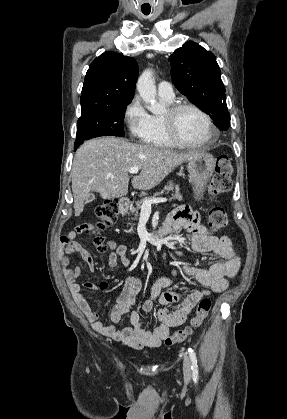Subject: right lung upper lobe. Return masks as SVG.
<instances>
[{
    "label": "right lung upper lobe",
    "mask_w": 287,
    "mask_h": 419,
    "mask_svg": "<svg viewBox=\"0 0 287 419\" xmlns=\"http://www.w3.org/2000/svg\"><path fill=\"white\" fill-rule=\"evenodd\" d=\"M138 76L134 58L105 52L90 65L81 93L82 112L104 105L131 102Z\"/></svg>",
    "instance_id": "1"
}]
</instances>
